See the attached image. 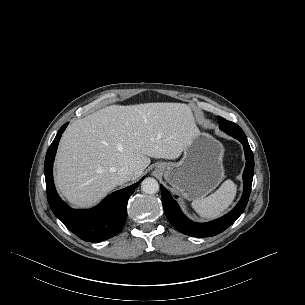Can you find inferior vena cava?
<instances>
[{
	"label": "inferior vena cava",
	"instance_id": "inferior-vena-cava-1",
	"mask_svg": "<svg viewBox=\"0 0 305 305\" xmlns=\"http://www.w3.org/2000/svg\"><path fill=\"white\" fill-rule=\"evenodd\" d=\"M133 174V169L131 167H123L118 171V175L122 182H127Z\"/></svg>",
	"mask_w": 305,
	"mask_h": 305
}]
</instances>
